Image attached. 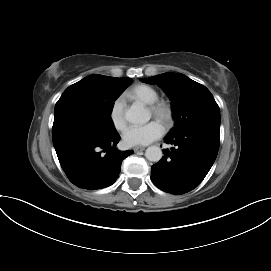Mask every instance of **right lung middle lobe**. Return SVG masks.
I'll return each instance as SVG.
<instances>
[{"label": "right lung middle lobe", "instance_id": "obj_1", "mask_svg": "<svg viewBox=\"0 0 271 271\" xmlns=\"http://www.w3.org/2000/svg\"><path fill=\"white\" fill-rule=\"evenodd\" d=\"M131 79L114 81L91 75L69 86L55 105L53 144L86 133L117 132L110 113Z\"/></svg>", "mask_w": 271, "mask_h": 271}]
</instances>
